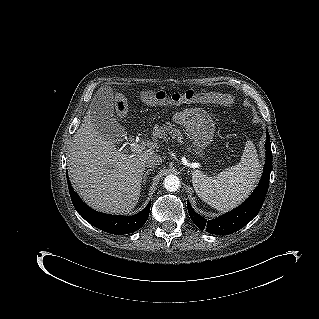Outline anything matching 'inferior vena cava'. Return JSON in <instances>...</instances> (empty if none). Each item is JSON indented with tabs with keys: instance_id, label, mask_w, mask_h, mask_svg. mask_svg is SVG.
<instances>
[{
	"instance_id": "602c4592",
	"label": "inferior vena cava",
	"mask_w": 319,
	"mask_h": 319,
	"mask_svg": "<svg viewBox=\"0 0 319 319\" xmlns=\"http://www.w3.org/2000/svg\"><path fill=\"white\" fill-rule=\"evenodd\" d=\"M162 163V158L158 154H153L148 159L146 160V166L149 168H155L161 165Z\"/></svg>"
}]
</instances>
